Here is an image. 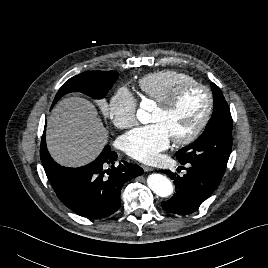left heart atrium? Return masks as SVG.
<instances>
[{"instance_id": "left-heart-atrium-1", "label": "left heart atrium", "mask_w": 268, "mask_h": 268, "mask_svg": "<svg viewBox=\"0 0 268 268\" xmlns=\"http://www.w3.org/2000/svg\"><path fill=\"white\" fill-rule=\"evenodd\" d=\"M170 143V135L160 123L136 127L122 138L125 153L144 163L156 161L159 153Z\"/></svg>"}]
</instances>
